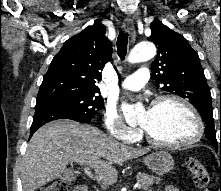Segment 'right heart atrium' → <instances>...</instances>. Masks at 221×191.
Returning <instances> with one entry per match:
<instances>
[{"mask_svg": "<svg viewBox=\"0 0 221 191\" xmlns=\"http://www.w3.org/2000/svg\"><path fill=\"white\" fill-rule=\"evenodd\" d=\"M103 124L108 135L125 143H134L140 138V131L127 126L113 107L103 113Z\"/></svg>", "mask_w": 221, "mask_h": 191, "instance_id": "obj_1", "label": "right heart atrium"}]
</instances>
